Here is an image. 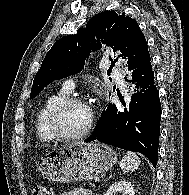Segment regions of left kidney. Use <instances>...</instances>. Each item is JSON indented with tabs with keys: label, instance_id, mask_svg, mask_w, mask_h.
I'll return each mask as SVG.
<instances>
[{
	"label": "left kidney",
	"instance_id": "left-kidney-1",
	"mask_svg": "<svg viewBox=\"0 0 189 195\" xmlns=\"http://www.w3.org/2000/svg\"><path fill=\"white\" fill-rule=\"evenodd\" d=\"M118 193H122V195H134V188L130 182L121 180L110 186L105 195H117Z\"/></svg>",
	"mask_w": 189,
	"mask_h": 195
}]
</instances>
